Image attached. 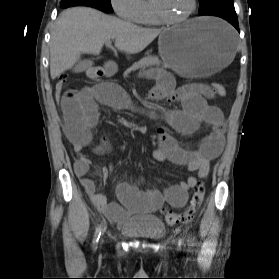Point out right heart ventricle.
Instances as JSON below:
<instances>
[{
	"mask_svg": "<svg viewBox=\"0 0 279 279\" xmlns=\"http://www.w3.org/2000/svg\"><path fill=\"white\" fill-rule=\"evenodd\" d=\"M136 22L142 25H159L161 23L154 14L150 0H142V10Z\"/></svg>",
	"mask_w": 279,
	"mask_h": 279,
	"instance_id": "1",
	"label": "right heart ventricle"
}]
</instances>
